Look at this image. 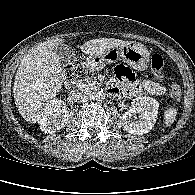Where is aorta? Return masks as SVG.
I'll return each instance as SVG.
<instances>
[{
  "mask_svg": "<svg viewBox=\"0 0 195 195\" xmlns=\"http://www.w3.org/2000/svg\"><path fill=\"white\" fill-rule=\"evenodd\" d=\"M104 98H105V93H104L103 91H98V92H96V94H95V99H96L97 101H103Z\"/></svg>",
  "mask_w": 195,
  "mask_h": 195,
  "instance_id": "762f6f07",
  "label": "aorta"
}]
</instances>
